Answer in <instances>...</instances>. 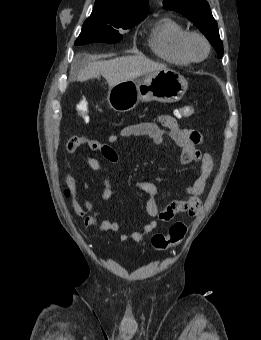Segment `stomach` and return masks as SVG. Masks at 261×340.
I'll list each match as a JSON object with an SVG mask.
<instances>
[{"label":"stomach","mask_w":261,"mask_h":340,"mask_svg":"<svg viewBox=\"0 0 261 340\" xmlns=\"http://www.w3.org/2000/svg\"><path fill=\"white\" fill-rule=\"evenodd\" d=\"M188 88L186 79L171 69H164L109 87L107 100L117 112L133 110L140 102L172 103L180 100Z\"/></svg>","instance_id":"obj_1"}]
</instances>
